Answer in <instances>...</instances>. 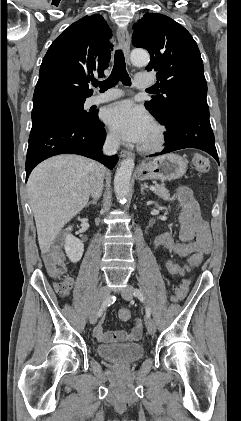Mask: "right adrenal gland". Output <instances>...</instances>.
<instances>
[{"mask_svg":"<svg viewBox=\"0 0 241 421\" xmlns=\"http://www.w3.org/2000/svg\"><path fill=\"white\" fill-rule=\"evenodd\" d=\"M97 200H98V199L91 200L90 202H88V203H87V205H86V206H89V205H95V204L97 203Z\"/></svg>","mask_w":241,"mask_h":421,"instance_id":"2a0ac1e0","label":"right adrenal gland"}]
</instances>
